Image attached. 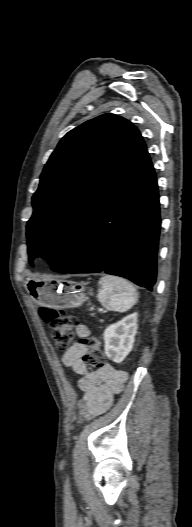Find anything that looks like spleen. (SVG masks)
Instances as JSON below:
<instances>
[{
    "label": "spleen",
    "instance_id": "1",
    "mask_svg": "<svg viewBox=\"0 0 192 527\" xmlns=\"http://www.w3.org/2000/svg\"><path fill=\"white\" fill-rule=\"evenodd\" d=\"M99 285L97 299L108 310L125 312L138 301L139 293L130 282L123 278L104 275Z\"/></svg>",
    "mask_w": 192,
    "mask_h": 527
}]
</instances>
